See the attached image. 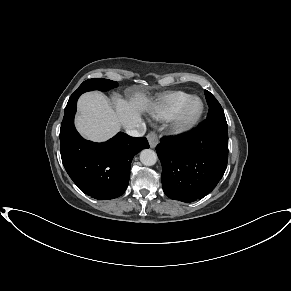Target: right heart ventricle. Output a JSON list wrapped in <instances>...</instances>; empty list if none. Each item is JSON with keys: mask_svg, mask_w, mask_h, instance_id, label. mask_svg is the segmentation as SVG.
Wrapping results in <instances>:
<instances>
[{"mask_svg": "<svg viewBox=\"0 0 291 291\" xmlns=\"http://www.w3.org/2000/svg\"><path fill=\"white\" fill-rule=\"evenodd\" d=\"M185 91H169L158 96L150 106V114L158 120L172 119L191 98Z\"/></svg>", "mask_w": 291, "mask_h": 291, "instance_id": "obj_1", "label": "right heart ventricle"}]
</instances>
